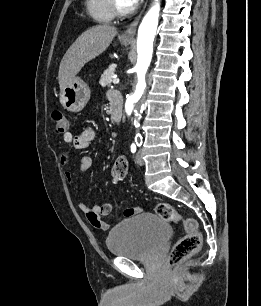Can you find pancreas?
Returning <instances> with one entry per match:
<instances>
[{"label": "pancreas", "instance_id": "1", "mask_svg": "<svg viewBox=\"0 0 261 306\" xmlns=\"http://www.w3.org/2000/svg\"><path fill=\"white\" fill-rule=\"evenodd\" d=\"M116 65L113 64L109 66L108 69H106L103 74L101 75V78L99 80V84L103 87L110 86L111 82L113 81V75L115 73Z\"/></svg>", "mask_w": 261, "mask_h": 306}]
</instances>
